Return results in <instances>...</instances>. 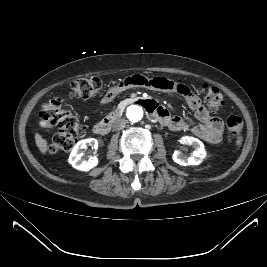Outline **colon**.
I'll list each match as a JSON object with an SVG mask.
<instances>
[{"label":"colon","instance_id":"1","mask_svg":"<svg viewBox=\"0 0 267 267\" xmlns=\"http://www.w3.org/2000/svg\"><path fill=\"white\" fill-rule=\"evenodd\" d=\"M103 87V82L98 77H86L74 80L69 85V95L73 98L87 100L95 97ZM204 102L213 112L218 111L224 104V97L216 87L205 86L203 88ZM40 118L57 128L50 152L58 154L69 151L77 142L82 127L77 116L67 107L64 100L54 97L45 102L40 110ZM227 127L232 136L235 137L236 145L242 143L243 120L237 114L230 115Z\"/></svg>","mask_w":267,"mask_h":267}]
</instances>
